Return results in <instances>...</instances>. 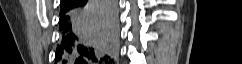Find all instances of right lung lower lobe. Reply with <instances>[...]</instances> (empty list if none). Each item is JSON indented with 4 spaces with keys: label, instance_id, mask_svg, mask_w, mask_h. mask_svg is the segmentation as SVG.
Masks as SVG:
<instances>
[{
    "label": "right lung lower lobe",
    "instance_id": "obj_1",
    "mask_svg": "<svg viewBox=\"0 0 242 64\" xmlns=\"http://www.w3.org/2000/svg\"><path fill=\"white\" fill-rule=\"evenodd\" d=\"M116 0H62L55 62L110 64L117 44Z\"/></svg>",
    "mask_w": 242,
    "mask_h": 64
}]
</instances>
